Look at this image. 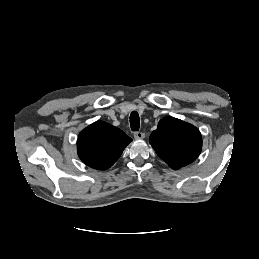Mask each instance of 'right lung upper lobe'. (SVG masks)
I'll use <instances>...</instances> for the list:
<instances>
[{
    "mask_svg": "<svg viewBox=\"0 0 259 259\" xmlns=\"http://www.w3.org/2000/svg\"><path fill=\"white\" fill-rule=\"evenodd\" d=\"M131 141L119 128L104 121H96L80 132L77 152L89 167L106 170L117 161Z\"/></svg>",
    "mask_w": 259,
    "mask_h": 259,
    "instance_id": "right-lung-upper-lobe-1",
    "label": "right lung upper lobe"
}]
</instances>
